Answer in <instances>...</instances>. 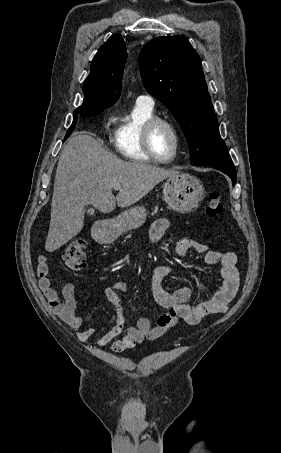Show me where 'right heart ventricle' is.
<instances>
[{"label":"right heart ventricle","mask_w":281,"mask_h":453,"mask_svg":"<svg viewBox=\"0 0 281 453\" xmlns=\"http://www.w3.org/2000/svg\"><path fill=\"white\" fill-rule=\"evenodd\" d=\"M154 118L156 114L150 100L137 99L131 108L120 114L113 144L122 158L152 161L145 151L143 136L147 122Z\"/></svg>","instance_id":"right-heart-ventricle-1"}]
</instances>
